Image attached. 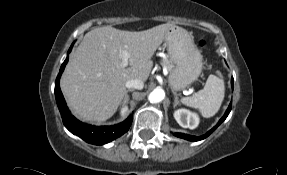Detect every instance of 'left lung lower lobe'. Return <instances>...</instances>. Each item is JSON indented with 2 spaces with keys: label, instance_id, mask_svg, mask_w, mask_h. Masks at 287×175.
<instances>
[{
  "label": "left lung lower lobe",
  "instance_id": "1",
  "mask_svg": "<svg viewBox=\"0 0 287 175\" xmlns=\"http://www.w3.org/2000/svg\"><path fill=\"white\" fill-rule=\"evenodd\" d=\"M231 84L233 87V78L231 80ZM230 111H231V103H230L228 109L226 110L224 116L219 120L218 124L215 127H213L210 131H208L205 135H203L201 137L191 136V135L183 134V133H175L174 135L177 137L189 140V141H199V140L205 139L227 118Z\"/></svg>",
  "mask_w": 287,
  "mask_h": 175
}]
</instances>
